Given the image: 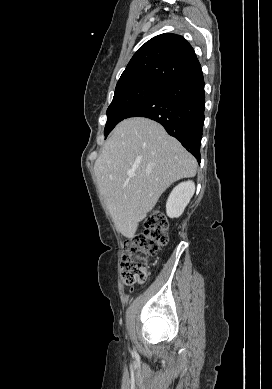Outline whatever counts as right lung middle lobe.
Wrapping results in <instances>:
<instances>
[{
    "mask_svg": "<svg viewBox=\"0 0 272 389\" xmlns=\"http://www.w3.org/2000/svg\"><path fill=\"white\" fill-rule=\"evenodd\" d=\"M165 85L156 81H137L116 86L113 100L107 109L105 138L134 107Z\"/></svg>",
    "mask_w": 272,
    "mask_h": 389,
    "instance_id": "obj_1",
    "label": "right lung middle lobe"
}]
</instances>
